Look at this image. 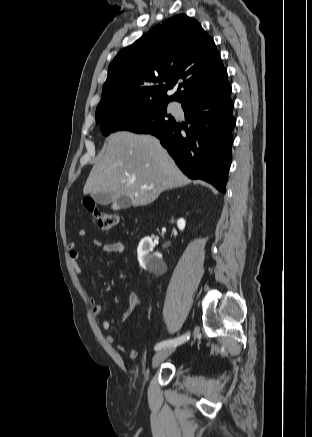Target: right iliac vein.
I'll return each mask as SVG.
<instances>
[{"label": "right iliac vein", "instance_id": "1", "mask_svg": "<svg viewBox=\"0 0 312 437\" xmlns=\"http://www.w3.org/2000/svg\"><path fill=\"white\" fill-rule=\"evenodd\" d=\"M175 348V346H168L158 351L153 357L152 367L156 368L157 366H159L160 363H162L168 356H170L175 351Z\"/></svg>", "mask_w": 312, "mask_h": 437}]
</instances>
